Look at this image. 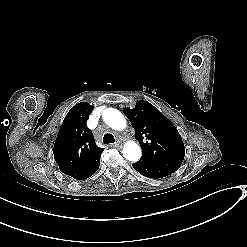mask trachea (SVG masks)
I'll use <instances>...</instances> for the list:
<instances>
[{
  "label": "trachea",
  "instance_id": "1",
  "mask_svg": "<svg viewBox=\"0 0 247 247\" xmlns=\"http://www.w3.org/2000/svg\"><path fill=\"white\" fill-rule=\"evenodd\" d=\"M104 144H111L115 142V138L112 134L106 133L103 138Z\"/></svg>",
  "mask_w": 247,
  "mask_h": 247
}]
</instances>
